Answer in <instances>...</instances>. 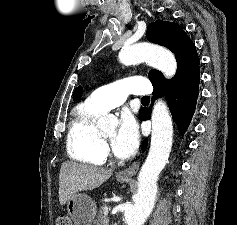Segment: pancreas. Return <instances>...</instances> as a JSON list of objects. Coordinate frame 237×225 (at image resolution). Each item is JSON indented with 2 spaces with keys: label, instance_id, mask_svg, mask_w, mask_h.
<instances>
[{
  "label": "pancreas",
  "instance_id": "cf45deb5",
  "mask_svg": "<svg viewBox=\"0 0 237 225\" xmlns=\"http://www.w3.org/2000/svg\"><path fill=\"white\" fill-rule=\"evenodd\" d=\"M106 220L107 218L104 216L103 207H100L98 211L97 219L95 220V224L102 225V223Z\"/></svg>",
  "mask_w": 237,
  "mask_h": 225
}]
</instances>
